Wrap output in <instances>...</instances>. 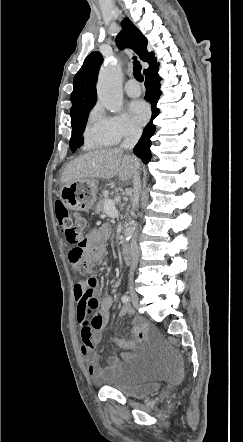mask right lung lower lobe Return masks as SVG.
I'll return each instance as SVG.
<instances>
[{"instance_id":"98d812e1","label":"right lung lower lobe","mask_w":243,"mask_h":442,"mask_svg":"<svg viewBox=\"0 0 243 442\" xmlns=\"http://www.w3.org/2000/svg\"><path fill=\"white\" fill-rule=\"evenodd\" d=\"M158 67L159 65L156 63L155 65L150 67L146 72H144L146 77L145 87L147 90L145 98L148 99L151 103L152 117L150 122L144 128L143 134L134 148V153L139 155V157L142 159V161L145 164H147L151 159L150 146L152 142L150 138L153 136L156 129L152 121L159 114V109L156 107L159 96L161 95L160 91L161 78L158 75Z\"/></svg>"}]
</instances>
